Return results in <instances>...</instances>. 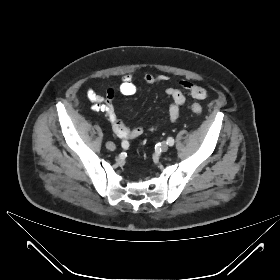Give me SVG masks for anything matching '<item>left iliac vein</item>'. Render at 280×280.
I'll return each mask as SVG.
<instances>
[{"label":"left iliac vein","mask_w":280,"mask_h":280,"mask_svg":"<svg viewBox=\"0 0 280 280\" xmlns=\"http://www.w3.org/2000/svg\"><path fill=\"white\" fill-rule=\"evenodd\" d=\"M169 146L166 142L161 143V150L162 152H166L168 150Z\"/></svg>","instance_id":"left-iliac-vein-1"}]
</instances>
